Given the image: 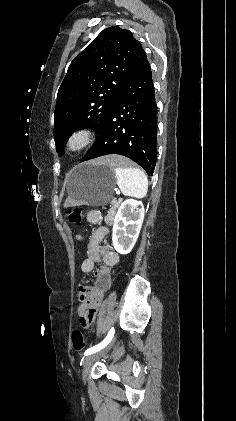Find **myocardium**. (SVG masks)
<instances>
[{
    "mask_svg": "<svg viewBox=\"0 0 236 421\" xmlns=\"http://www.w3.org/2000/svg\"><path fill=\"white\" fill-rule=\"evenodd\" d=\"M95 133L91 128L84 127L74 130L69 134L63 144L66 157L74 158L83 152L94 140Z\"/></svg>",
    "mask_w": 236,
    "mask_h": 421,
    "instance_id": "1",
    "label": "myocardium"
}]
</instances>
